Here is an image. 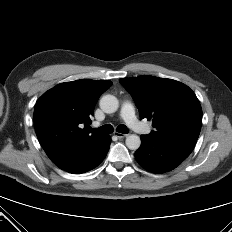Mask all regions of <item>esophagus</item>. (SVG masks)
Masks as SVG:
<instances>
[{"mask_svg": "<svg viewBox=\"0 0 232 232\" xmlns=\"http://www.w3.org/2000/svg\"><path fill=\"white\" fill-rule=\"evenodd\" d=\"M114 135H115L116 137H118L119 139L125 138V137L128 136V134H123V133H119V132H114Z\"/></svg>", "mask_w": 232, "mask_h": 232, "instance_id": "esophagus-1", "label": "esophagus"}]
</instances>
